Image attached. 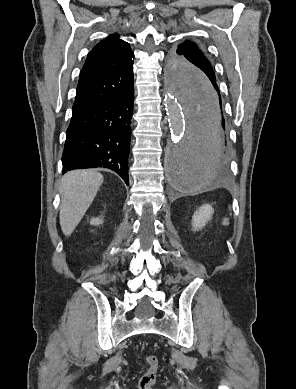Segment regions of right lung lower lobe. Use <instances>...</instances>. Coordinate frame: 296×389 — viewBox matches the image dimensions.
Returning a JSON list of instances; mask_svg holds the SVG:
<instances>
[{
  "label": "right lung lower lobe",
  "instance_id": "obj_1",
  "mask_svg": "<svg viewBox=\"0 0 296 389\" xmlns=\"http://www.w3.org/2000/svg\"><path fill=\"white\" fill-rule=\"evenodd\" d=\"M133 83L119 96L72 112L62 155L63 173L104 167L129 184L128 155L133 114Z\"/></svg>",
  "mask_w": 296,
  "mask_h": 389
}]
</instances>
